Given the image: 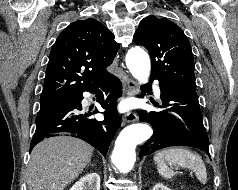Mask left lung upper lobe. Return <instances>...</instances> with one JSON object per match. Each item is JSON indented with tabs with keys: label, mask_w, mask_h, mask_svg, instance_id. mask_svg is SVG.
Here are the masks:
<instances>
[{
	"label": "left lung upper lobe",
	"mask_w": 238,
	"mask_h": 190,
	"mask_svg": "<svg viewBox=\"0 0 238 190\" xmlns=\"http://www.w3.org/2000/svg\"><path fill=\"white\" fill-rule=\"evenodd\" d=\"M133 41L146 47L150 53L151 78L196 88L191 46L175 23L150 15L141 20Z\"/></svg>",
	"instance_id": "left-lung-upper-lobe-1"
}]
</instances>
